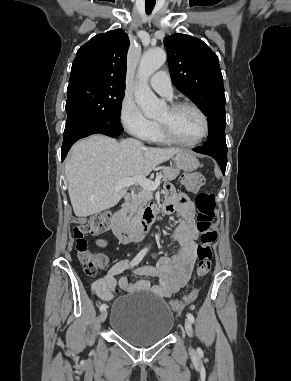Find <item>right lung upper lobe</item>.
I'll use <instances>...</instances> for the list:
<instances>
[{
    "mask_svg": "<svg viewBox=\"0 0 291 381\" xmlns=\"http://www.w3.org/2000/svg\"><path fill=\"white\" fill-rule=\"evenodd\" d=\"M127 34L116 29L98 34L77 51L69 84L87 82L125 87Z\"/></svg>",
    "mask_w": 291,
    "mask_h": 381,
    "instance_id": "obj_1",
    "label": "right lung upper lobe"
}]
</instances>
